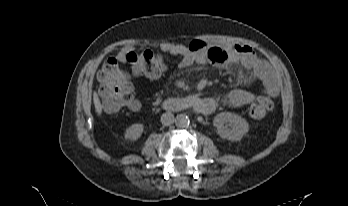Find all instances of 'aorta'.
Returning a JSON list of instances; mask_svg holds the SVG:
<instances>
[{
	"instance_id": "1",
	"label": "aorta",
	"mask_w": 348,
	"mask_h": 206,
	"mask_svg": "<svg viewBox=\"0 0 348 206\" xmlns=\"http://www.w3.org/2000/svg\"><path fill=\"white\" fill-rule=\"evenodd\" d=\"M176 121L178 125L185 127L189 124L190 119L186 114H180L177 116Z\"/></svg>"
}]
</instances>
